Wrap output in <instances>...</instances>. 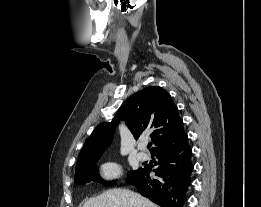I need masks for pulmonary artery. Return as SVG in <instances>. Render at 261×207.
<instances>
[{"label": "pulmonary artery", "instance_id": "obj_1", "mask_svg": "<svg viewBox=\"0 0 261 207\" xmlns=\"http://www.w3.org/2000/svg\"><path fill=\"white\" fill-rule=\"evenodd\" d=\"M144 144H141L140 146H139V149L141 150L139 153H138V158L140 159V160H142V161H146L149 157H148V155L145 153V152H143V149H144Z\"/></svg>", "mask_w": 261, "mask_h": 207}]
</instances>
